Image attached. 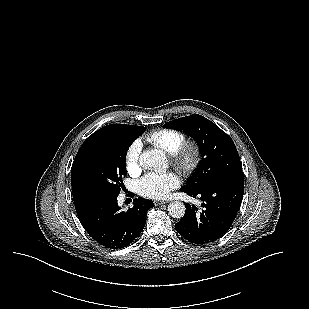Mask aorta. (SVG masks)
I'll use <instances>...</instances> for the list:
<instances>
[{
    "mask_svg": "<svg viewBox=\"0 0 309 309\" xmlns=\"http://www.w3.org/2000/svg\"><path fill=\"white\" fill-rule=\"evenodd\" d=\"M139 162L147 169H158L165 165L166 157L161 150H146L140 155ZM185 210L184 203L180 201H174L168 205V212L173 218H182Z\"/></svg>",
    "mask_w": 309,
    "mask_h": 309,
    "instance_id": "1",
    "label": "aorta"
}]
</instances>
